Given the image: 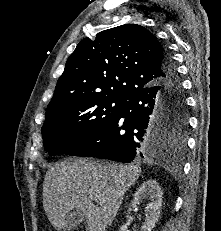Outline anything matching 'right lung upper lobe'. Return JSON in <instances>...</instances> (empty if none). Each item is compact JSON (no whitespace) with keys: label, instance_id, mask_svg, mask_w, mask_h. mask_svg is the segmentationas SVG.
Segmentation results:
<instances>
[{"label":"right lung upper lobe","instance_id":"right-lung-upper-lobe-1","mask_svg":"<svg viewBox=\"0 0 221 231\" xmlns=\"http://www.w3.org/2000/svg\"><path fill=\"white\" fill-rule=\"evenodd\" d=\"M164 48L143 26L125 24L84 39L68 58L46 111L92 96L125 99L163 79Z\"/></svg>","mask_w":221,"mask_h":231}]
</instances>
